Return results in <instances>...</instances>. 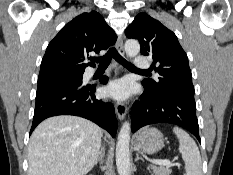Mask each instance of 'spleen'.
<instances>
[{
  "label": "spleen",
  "instance_id": "spleen-1",
  "mask_svg": "<svg viewBox=\"0 0 233 175\" xmlns=\"http://www.w3.org/2000/svg\"><path fill=\"white\" fill-rule=\"evenodd\" d=\"M173 132L179 140V151L185 162L186 175H202V161L198 146L187 132L174 127Z\"/></svg>",
  "mask_w": 233,
  "mask_h": 175
}]
</instances>
